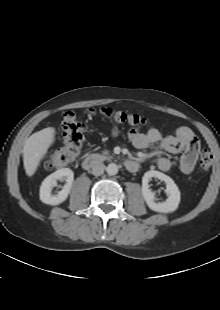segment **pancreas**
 <instances>
[{
    "mask_svg": "<svg viewBox=\"0 0 220 310\" xmlns=\"http://www.w3.org/2000/svg\"><path fill=\"white\" fill-rule=\"evenodd\" d=\"M103 153H104V155H109V151L108 150L104 151Z\"/></svg>",
    "mask_w": 220,
    "mask_h": 310,
    "instance_id": "pancreas-1",
    "label": "pancreas"
}]
</instances>
